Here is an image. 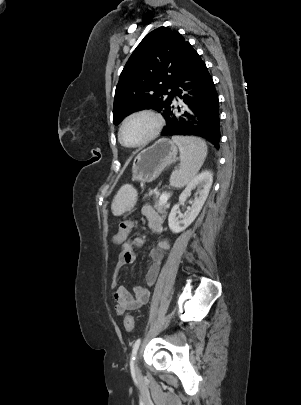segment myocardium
Here are the masks:
<instances>
[{
    "instance_id": "myocardium-1",
    "label": "myocardium",
    "mask_w": 301,
    "mask_h": 405,
    "mask_svg": "<svg viewBox=\"0 0 301 405\" xmlns=\"http://www.w3.org/2000/svg\"><path fill=\"white\" fill-rule=\"evenodd\" d=\"M141 116H146V117L151 118L154 121V128H153L152 132L141 142L134 144V145H128L122 139L123 129L130 120H132L136 117H141ZM163 126H164V118L157 111L152 110V109L137 110V111L130 113L122 121V123L119 127V131H118V140L124 147L131 148V149L140 148V147L147 145L151 141H153L160 134V132L163 129Z\"/></svg>"
}]
</instances>
